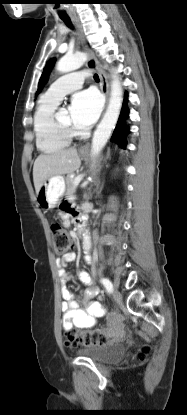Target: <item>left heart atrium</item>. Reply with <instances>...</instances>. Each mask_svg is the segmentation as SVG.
<instances>
[{
  "label": "left heart atrium",
  "instance_id": "39dd6f15",
  "mask_svg": "<svg viewBox=\"0 0 187 415\" xmlns=\"http://www.w3.org/2000/svg\"><path fill=\"white\" fill-rule=\"evenodd\" d=\"M101 110V99L93 89L74 94L69 106L72 125L76 128H88L97 120Z\"/></svg>",
  "mask_w": 187,
  "mask_h": 415
}]
</instances>
